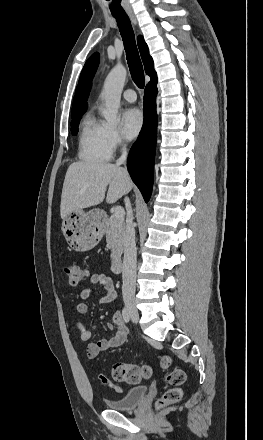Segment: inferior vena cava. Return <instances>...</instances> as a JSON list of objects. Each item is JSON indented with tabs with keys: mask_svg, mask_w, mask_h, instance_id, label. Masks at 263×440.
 <instances>
[{
	"mask_svg": "<svg viewBox=\"0 0 263 440\" xmlns=\"http://www.w3.org/2000/svg\"><path fill=\"white\" fill-rule=\"evenodd\" d=\"M127 160V149L123 147L121 157L116 161V166L120 167ZM125 175H128L127 169L121 168ZM127 210L126 230L124 235V259L122 271V294L124 300H131L135 295L136 287V244L135 229L133 225V211L129 198H125Z\"/></svg>",
	"mask_w": 263,
	"mask_h": 440,
	"instance_id": "inferior-vena-cava-1",
	"label": "inferior vena cava"
}]
</instances>
